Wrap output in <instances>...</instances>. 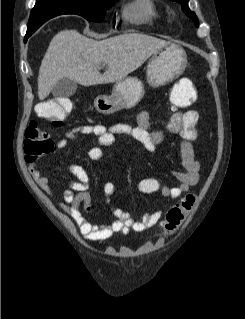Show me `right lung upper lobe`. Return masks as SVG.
Listing matches in <instances>:
<instances>
[{
    "label": "right lung upper lobe",
    "mask_w": 245,
    "mask_h": 319,
    "mask_svg": "<svg viewBox=\"0 0 245 319\" xmlns=\"http://www.w3.org/2000/svg\"><path fill=\"white\" fill-rule=\"evenodd\" d=\"M70 0H36V4L31 11L30 19L36 18L35 24L28 23L27 32L33 34L44 22L52 17L64 14L61 2Z\"/></svg>",
    "instance_id": "1"
}]
</instances>
